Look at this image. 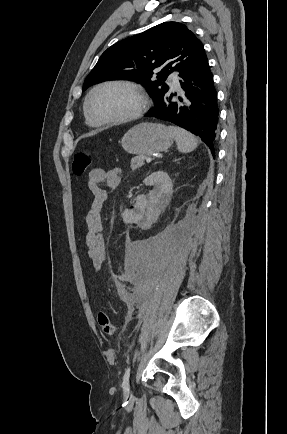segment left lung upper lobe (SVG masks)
Wrapping results in <instances>:
<instances>
[{
  "instance_id": "5c2ea615",
  "label": "left lung upper lobe",
  "mask_w": 287,
  "mask_h": 434,
  "mask_svg": "<svg viewBox=\"0 0 287 434\" xmlns=\"http://www.w3.org/2000/svg\"><path fill=\"white\" fill-rule=\"evenodd\" d=\"M204 53L203 44L185 25L164 22L109 47L86 77L83 90L106 80H134L147 86L156 104L169 90L167 76ZM154 69L160 70L156 78Z\"/></svg>"
}]
</instances>
